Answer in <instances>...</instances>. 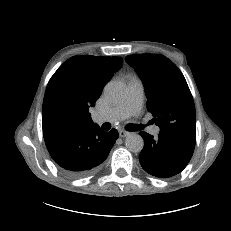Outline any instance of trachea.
I'll return each mask as SVG.
<instances>
[{"label": "trachea", "instance_id": "1", "mask_svg": "<svg viewBox=\"0 0 231 231\" xmlns=\"http://www.w3.org/2000/svg\"><path fill=\"white\" fill-rule=\"evenodd\" d=\"M102 127H103V129L108 130L110 128V125L107 123V124H104ZM143 128H144V125H142V124H134V125L129 124V125L125 126V129L128 131H139Z\"/></svg>", "mask_w": 231, "mask_h": 231}]
</instances>
